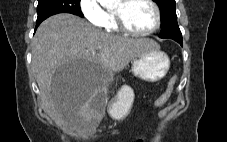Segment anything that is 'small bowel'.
I'll list each match as a JSON object with an SVG mask.
<instances>
[{
    "mask_svg": "<svg viewBox=\"0 0 227 142\" xmlns=\"http://www.w3.org/2000/svg\"><path fill=\"white\" fill-rule=\"evenodd\" d=\"M138 142H143V138H139L138 139Z\"/></svg>",
    "mask_w": 227,
    "mask_h": 142,
    "instance_id": "c3829d8e",
    "label": "small bowel"
}]
</instances>
